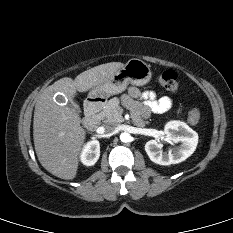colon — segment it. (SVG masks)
I'll list each match as a JSON object with an SVG mask.
<instances>
[{"mask_svg": "<svg viewBox=\"0 0 233 233\" xmlns=\"http://www.w3.org/2000/svg\"><path fill=\"white\" fill-rule=\"evenodd\" d=\"M159 83L163 88L168 91L175 92L178 90L179 83L177 74L173 70H166L159 76ZM200 111L197 108H193L188 114V121L192 125H196L200 120Z\"/></svg>", "mask_w": 233, "mask_h": 233, "instance_id": "1", "label": "colon"}]
</instances>
